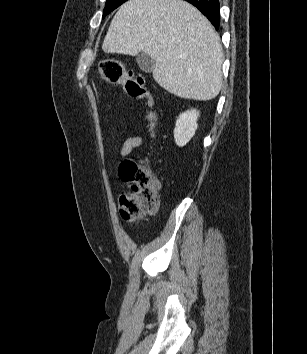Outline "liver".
Here are the masks:
<instances>
[{"label":"liver","mask_w":307,"mask_h":354,"mask_svg":"<svg viewBox=\"0 0 307 354\" xmlns=\"http://www.w3.org/2000/svg\"><path fill=\"white\" fill-rule=\"evenodd\" d=\"M105 53H147L153 78L181 98L207 101L222 87L223 51L218 34L202 13L182 0H129L113 17Z\"/></svg>","instance_id":"liver-1"}]
</instances>
